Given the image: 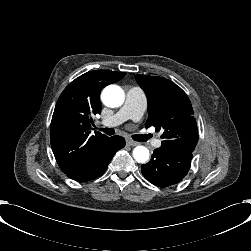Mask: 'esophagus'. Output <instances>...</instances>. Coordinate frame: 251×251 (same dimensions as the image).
<instances>
[{
    "label": "esophagus",
    "mask_w": 251,
    "mask_h": 251,
    "mask_svg": "<svg viewBox=\"0 0 251 251\" xmlns=\"http://www.w3.org/2000/svg\"><path fill=\"white\" fill-rule=\"evenodd\" d=\"M127 144H128L129 146H137V145H139L138 142L133 141V140H130V139L127 140Z\"/></svg>",
    "instance_id": "1"
}]
</instances>
